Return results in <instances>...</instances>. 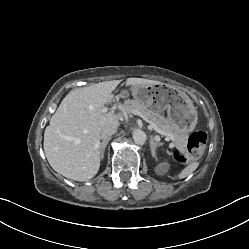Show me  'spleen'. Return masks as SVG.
Wrapping results in <instances>:
<instances>
[{
    "mask_svg": "<svg viewBox=\"0 0 249 249\" xmlns=\"http://www.w3.org/2000/svg\"><path fill=\"white\" fill-rule=\"evenodd\" d=\"M199 166L198 162H192L189 165H187L177 176L176 178L183 179L192 174L197 167Z\"/></svg>",
    "mask_w": 249,
    "mask_h": 249,
    "instance_id": "obj_1",
    "label": "spleen"
}]
</instances>
